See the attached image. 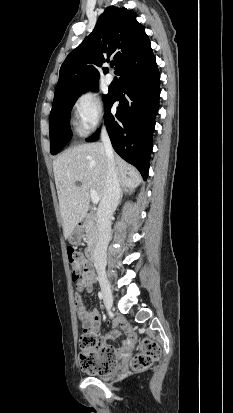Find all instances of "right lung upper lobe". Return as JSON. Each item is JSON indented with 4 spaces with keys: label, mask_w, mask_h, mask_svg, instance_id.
<instances>
[{
    "label": "right lung upper lobe",
    "mask_w": 233,
    "mask_h": 413,
    "mask_svg": "<svg viewBox=\"0 0 233 413\" xmlns=\"http://www.w3.org/2000/svg\"><path fill=\"white\" fill-rule=\"evenodd\" d=\"M136 16L124 7H108L101 14L93 32L61 65L53 104L98 84L97 68L105 58L108 61L109 57L113 58L116 72L125 60L149 43L145 28Z\"/></svg>",
    "instance_id": "1"
}]
</instances>
